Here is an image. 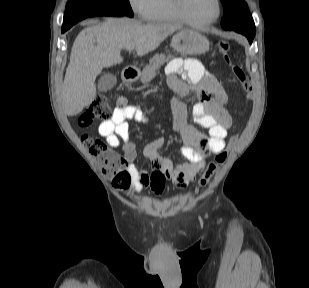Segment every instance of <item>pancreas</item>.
Returning a JSON list of instances; mask_svg holds the SVG:
<instances>
[{
	"label": "pancreas",
	"instance_id": "pancreas-1",
	"mask_svg": "<svg viewBox=\"0 0 309 288\" xmlns=\"http://www.w3.org/2000/svg\"><path fill=\"white\" fill-rule=\"evenodd\" d=\"M173 58L172 55L165 54H156L149 61V64L146 65L142 71L141 82L148 83L150 82L156 75L158 69L165 63Z\"/></svg>",
	"mask_w": 309,
	"mask_h": 288
}]
</instances>
